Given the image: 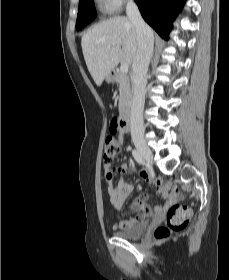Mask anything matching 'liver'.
<instances>
[{"instance_id": "6515ba94", "label": "liver", "mask_w": 229, "mask_h": 280, "mask_svg": "<svg viewBox=\"0 0 229 280\" xmlns=\"http://www.w3.org/2000/svg\"><path fill=\"white\" fill-rule=\"evenodd\" d=\"M81 46L87 68L101 86L119 62L133 63L138 49L136 28L127 17H113L88 29Z\"/></svg>"}]
</instances>
